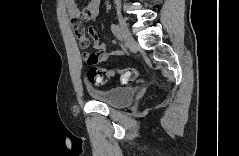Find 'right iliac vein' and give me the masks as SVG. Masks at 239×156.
<instances>
[{"label":"right iliac vein","mask_w":239,"mask_h":156,"mask_svg":"<svg viewBox=\"0 0 239 156\" xmlns=\"http://www.w3.org/2000/svg\"><path fill=\"white\" fill-rule=\"evenodd\" d=\"M117 18H118L123 39L125 41V45L127 48H130L134 44V39L129 31V28L127 26L125 19L122 17L120 12L117 13Z\"/></svg>","instance_id":"obj_1"}]
</instances>
